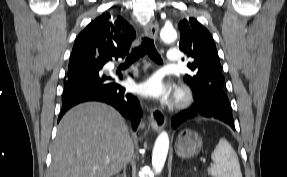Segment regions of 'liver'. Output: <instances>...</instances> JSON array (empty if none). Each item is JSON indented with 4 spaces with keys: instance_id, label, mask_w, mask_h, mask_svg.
Returning <instances> with one entry per match:
<instances>
[{
    "instance_id": "liver-1",
    "label": "liver",
    "mask_w": 287,
    "mask_h": 177,
    "mask_svg": "<svg viewBox=\"0 0 287 177\" xmlns=\"http://www.w3.org/2000/svg\"><path fill=\"white\" fill-rule=\"evenodd\" d=\"M133 153L127 125L114 108L98 102L80 104L58 125L48 177H111Z\"/></svg>"
}]
</instances>
